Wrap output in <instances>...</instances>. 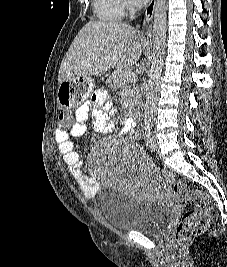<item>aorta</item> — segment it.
Returning a JSON list of instances; mask_svg holds the SVG:
<instances>
[{
  "label": "aorta",
  "mask_w": 227,
  "mask_h": 267,
  "mask_svg": "<svg viewBox=\"0 0 227 267\" xmlns=\"http://www.w3.org/2000/svg\"><path fill=\"white\" fill-rule=\"evenodd\" d=\"M167 3L166 0H156L153 20V54L149 81L146 91L144 108V123L152 125L154 105L157 99L159 79L163 67L167 32Z\"/></svg>",
  "instance_id": "aorta-1"
}]
</instances>
